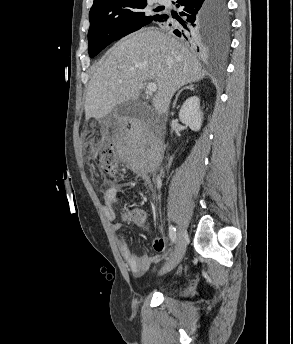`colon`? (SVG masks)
Instances as JSON below:
<instances>
[{
  "label": "colon",
  "mask_w": 293,
  "mask_h": 344,
  "mask_svg": "<svg viewBox=\"0 0 293 344\" xmlns=\"http://www.w3.org/2000/svg\"><path fill=\"white\" fill-rule=\"evenodd\" d=\"M99 165L103 172L112 177H119L121 175V166L111 144H104L101 147ZM124 218L136 222L143 221V215L139 211L128 212L124 215Z\"/></svg>",
  "instance_id": "5ec220e1"
}]
</instances>
